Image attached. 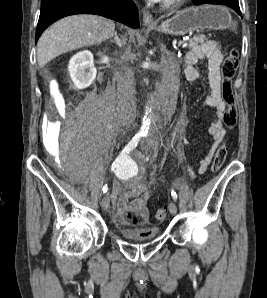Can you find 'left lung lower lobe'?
<instances>
[{
  "label": "left lung lower lobe",
  "mask_w": 267,
  "mask_h": 298,
  "mask_svg": "<svg viewBox=\"0 0 267 298\" xmlns=\"http://www.w3.org/2000/svg\"><path fill=\"white\" fill-rule=\"evenodd\" d=\"M192 2L195 5H201V4H222V5H226V6L231 7L239 15H241L238 0H192Z\"/></svg>",
  "instance_id": "obj_1"
}]
</instances>
